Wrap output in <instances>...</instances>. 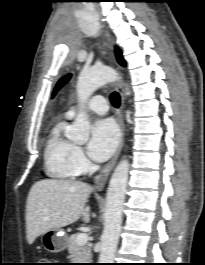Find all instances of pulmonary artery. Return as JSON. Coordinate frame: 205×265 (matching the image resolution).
<instances>
[{
  "label": "pulmonary artery",
  "instance_id": "obj_1",
  "mask_svg": "<svg viewBox=\"0 0 205 265\" xmlns=\"http://www.w3.org/2000/svg\"><path fill=\"white\" fill-rule=\"evenodd\" d=\"M87 110L98 113L105 114L108 111V104L104 97L95 96L87 104ZM77 113V108L72 107L67 113V117L71 118Z\"/></svg>",
  "mask_w": 205,
  "mask_h": 265
}]
</instances>
